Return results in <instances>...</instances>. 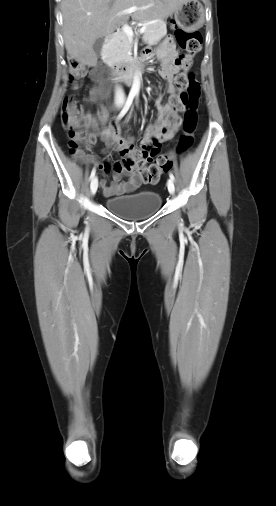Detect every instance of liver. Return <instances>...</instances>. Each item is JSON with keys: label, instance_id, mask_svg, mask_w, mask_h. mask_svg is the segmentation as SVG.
I'll use <instances>...</instances> for the list:
<instances>
[{"label": "liver", "instance_id": "liver-1", "mask_svg": "<svg viewBox=\"0 0 276 506\" xmlns=\"http://www.w3.org/2000/svg\"><path fill=\"white\" fill-rule=\"evenodd\" d=\"M188 0H62L63 37L68 56L82 64L94 66L97 56L93 45L97 39L114 32L129 19L119 14L136 6L132 13L136 21L164 19Z\"/></svg>", "mask_w": 276, "mask_h": 506}]
</instances>
